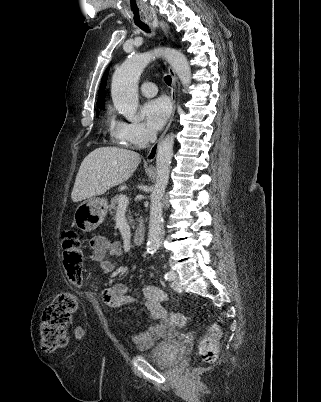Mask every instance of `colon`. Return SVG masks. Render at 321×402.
I'll list each match as a JSON object with an SVG mask.
<instances>
[{"instance_id":"5ec220e1","label":"colon","mask_w":321,"mask_h":402,"mask_svg":"<svg viewBox=\"0 0 321 402\" xmlns=\"http://www.w3.org/2000/svg\"><path fill=\"white\" fill-rule=\"evenodd\" d=\"M62 251L66 277L72 288L80 291L82 289L83 252L82 241L76 232L72 230L65 232ZM77 306L78 301L74 294L62 292L45 307L40 325V338L42 348L46 352H53L67 344V327ZM174 320L179 326L186 324V318L181 314H175ZM221 337L220 327L216 324L213 325L209 334L200 341L198 346L199 355L203 361H216Z\"/></svg>"}]
</instances>
